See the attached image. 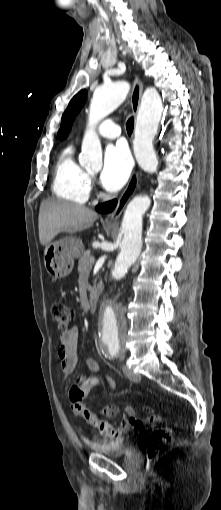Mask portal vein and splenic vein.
<instances>
[{
    "mask_svg": "<svg viewBox=\"0 0 221 510\" xmlns=\"http://www.w3.org/2000/svg\"><path fill=\"white\" fill-rule=\"evenodd\" d=\"M90 262H91V263H94V262H95V257H94V256H91V257H90Z\"/></svg>",
    "mask_w": 221,
    "mask_h": 510,
    "instance_id": "18ae733b",
    "label": "portal vein and splenic vein"
}]
</instances>
